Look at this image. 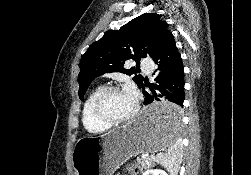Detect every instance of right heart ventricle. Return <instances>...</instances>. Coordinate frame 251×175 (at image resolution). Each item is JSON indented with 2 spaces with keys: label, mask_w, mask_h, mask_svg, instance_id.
<instances>
[{
  "label": "right heart ventricle",
  "mask_w": 251,
  "mask_h": 175,
  "mask_svg": "<svg viewBox=\"0 0 251 175\" xmlns=\"http://www.w3.org/2000/svg\"><path fill=\"white\" fill-rule=\"evenodd\" d=\"M103 86H97L90 91L82 107V123L84 129L90 134H101L109 129V126L100 122L93 114L92 106L95 97L103 89Z\"/></svg>",
  "instance_id": "right-heart-ventricle-1"
}]
</instances>
